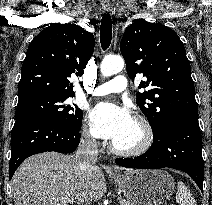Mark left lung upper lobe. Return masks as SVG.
I'll use <instances>...</instances> for the list:
<instances>
[{"label": "left lung upper lobe", "mask_w": 212, "mask_h": 205, "mask_svg": "<svg viewBox=\"0 0 212 205\" xmlns=\"http://www.w3.org/2000/svg\"><path fill=\"white\" fill-rule=\"evenodd\" d=\"M120 50L128 76L147 78L136 103L147 117L153 136H160L178 114L197 110L190 62L178 35L169 27L139 20L125 31Z\"/></svg>", "instance_id": "obj_1"}]
</instances>
